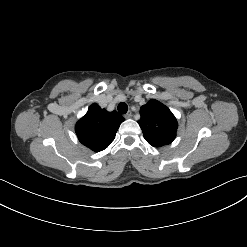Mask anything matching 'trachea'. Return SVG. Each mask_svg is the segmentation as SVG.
Instances as JSON below:
<instances>
[{"label": "trachea", "mask_w": 247, "mask_h": 247, "mask_svg": "<svg viewBox=\"0 0 247 247\" xmlns=\"http://www.w3.org/2000/svg\"><path fill=\"white\" fill-rule=\"evenodd\" d=\"M117 109L121 114H125L128 111V106L126 103H120Z\"/></svg>", "instance_id": "3493384b"}]
</instances>
